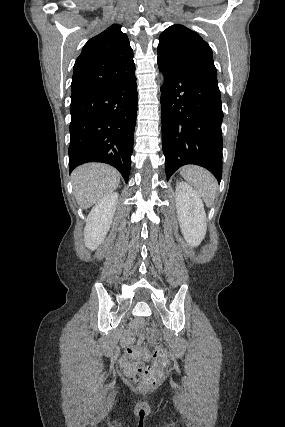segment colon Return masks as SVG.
Wrapping results in <instances>:
<instances>
[{
    "label": "colon",
    "instance_id": "1",
    "mask_svg": "<svg viewBox=\"0 0 285 427\" xmlns=\"http://www.w3.org/2000/svg\"><path fill=\"white\" fill-rule=\"evenodd\" d=\"M146 321L145 319L138 318L135 322L136 325H142ZM128 355L132 358L142 356L145 360L152 358V365L146 366L142 362H134L133 374L138 376L140 379V385L145 388H152L159 382L157 377V371L159 368L165 367L169 363V355L165 348L161 346H155L150 351L136 352L135 350H129ZM135 376L132 378L136 381Z\"/></svg>",
    "mask_w": 285,
    "mask_h": 427
}]
</instances>
